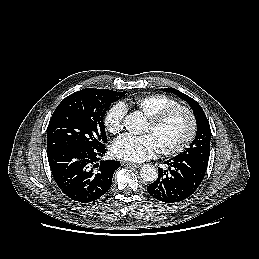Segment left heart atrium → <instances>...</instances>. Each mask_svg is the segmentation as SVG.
I'll list each match as a JSON object with an SVG mask.
<instances>
[{
    "label": "left heart atrium",
    "instance_id": "39dd6f15",
    "mask_svg": "<svg viewBox=\"0 0 259 259\" xmlns=\"http://www.w3.org/2000/svg\"><path fill=\"white\" fill-rule=\"evenodd\" d=\"M113 155L130 162H142L155 156L158 147L151 135L133 136L125 134L114 141Z\"/></svg>",
    "mask_w": 259,
    "mask_h": 259
}]
</instances>
